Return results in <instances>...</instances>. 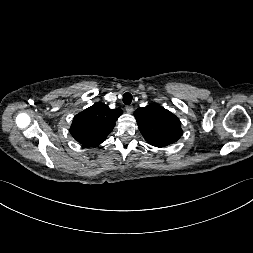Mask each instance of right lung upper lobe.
Returning a JSON list of instances; mask_svg holds the SVG:
<instances>
[{
    "mask_svg": "<svg viewBox=\"0 0 253 253\" xmlns=\"http://www.w3.org/2000/svg\"><path fill=\"white\" fill-rule=\"evenodd\" d=\"M122 113L119 108L112 110L103 103H96L74 117L70 133L84 146H97L105 141Z\"/></svg>",
    "mask_w": 253,
    "mask_h": 253,
    "instance_id": "cb5924a9",
    "label": "right lung upper lobe"
}]
</instances>
